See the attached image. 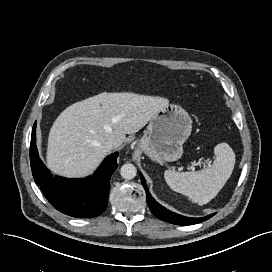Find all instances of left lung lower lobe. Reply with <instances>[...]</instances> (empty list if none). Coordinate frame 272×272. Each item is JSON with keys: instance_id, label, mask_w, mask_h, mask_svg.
Here are the masks:
<instances>
[{"instance_id": "left-lung-lower-lobe-1", "label": "left lung lower lobe", "mask_w": 272, "mask_h": 272, "mask_svg": "<svg viewBox=\"0 0 272 272\" xmlns=\"http://www.w3.org/2000/svg\"><path fill=\"white\" fill-rule=\"evenodd\" d=\"M140 177H141L142 185L146 191L147 203L152 213L160 220L169 222L172 224H176V225H192L196 223H201L211 218L214 215V214H210L202 218H190V217H185V216L169 211L168 209H166L165 207H163L162 205H160L158 202L155 201V199L151 196V194L148 191L143 175L140 174Z\"/></svg>"}]
</instances>
